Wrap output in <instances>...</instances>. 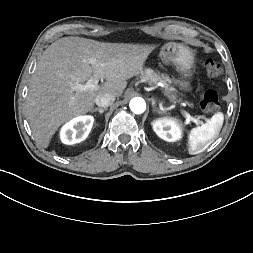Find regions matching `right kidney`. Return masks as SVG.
<instances>
[{
	"label": "right kidney",
	"instance_id": "right-kidney-1",
	"mask_svg": "<svg viewBox=\"0 0 253 253\" xmlns=\"http://www.w3.org/2000/svg\"><path fill=\"white\" fill-rule=\"evenodd\" d=\"M94 118L92 116H80L65 124L61 129V140L64 144L72 145L79 143L88 136Z\"/></svg>",
	"mask_w": 253,
	"mask_h": 253
}]
</instances>
